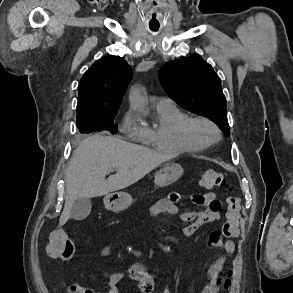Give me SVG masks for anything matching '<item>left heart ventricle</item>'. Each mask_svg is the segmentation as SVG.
<instances>
[{
	"label": "left heart ventricle",
	"mask_w": 293,
	"mask_h": 293,
	"mask_svg": "<svg viewBox=\"0 0 293 293\" xmlns=\"http://www.w3.org/2000/svg\"><path fill=\"white\" fill-rule=\"evenodd\" d=\"M195 131V135L202 139V140H206V139H210L214 137V133L212 131V129L205 125V124H197L194 128Z\"/></svg>",
	"instance_id": "left-heart-ventricle-1"
}]
</instances>
